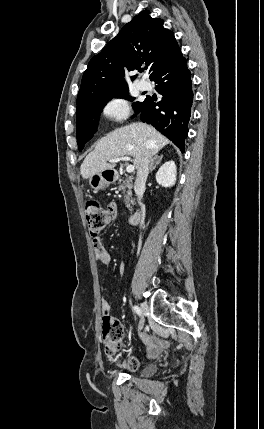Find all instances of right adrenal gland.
I'll return each instance as SVG.
<instances>
[{"instance_id":"1","label":"right adrenal gland","mask_w":264,"mask_h":429,"mask_svg":"<svg viewBox=\"0 0 264 429\" xmlns=\"http://www.w3.org/2000/svg\"><path fill=\"white\" fill-rule=\"evenodd\" d=\"M162 158H163V155L161 156L154 155V157L151 159V162H150V168H149L150 173L156 168L158 164H160Z\"/></svg>"}]
</instances>
